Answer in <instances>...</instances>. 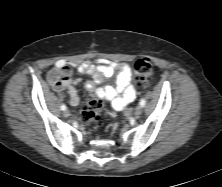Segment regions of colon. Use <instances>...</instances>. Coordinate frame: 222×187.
I'll return each instance as SVG.
<instances>
[{
	"instance_id": "colon-1",
	"label": "colon",
	"mask_w": 222,
	"mask_h": 187,
	"mask_svg": "<svg viewBox=\"0 0 222 187\" xmlns=\"http://www.w3.org/2000/svg\"><path fill=\"white\" fill-rule=\"evenodd\" d=\"M137 84L141 87L149 86L152 75L153 66L147 58L139 59L134 66ZM102 112V100L97 96L89 98L86 106L83 108L80 119L83 122L98 120Z\"/></svg>"
}]
</instances>
